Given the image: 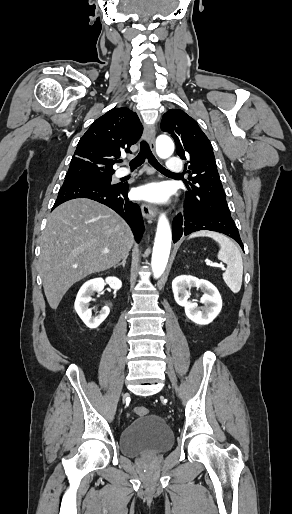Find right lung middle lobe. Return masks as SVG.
<instances>
[{"label":"right lung middle lobe","instance_id":"1","mask_svg":"<svg viewBox=\"0 0 292 514\" xmlns=\"http://www.w3.org/2000/svg\"><path fill=\"white\" fill-rule=\"evenodd\" d=\"M113 174L114 172H68L65 176V181L85 180L101 184H111Z\"/></svg>","mask_w":292,"mask_h":514}]
</instances>
